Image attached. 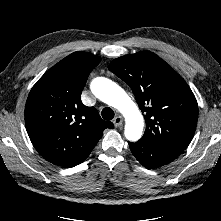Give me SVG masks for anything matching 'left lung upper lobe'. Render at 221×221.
<instances>
[{"label": "left lung upper lobe", "mask_w": 221, "mask_h": 221, "mask_svg": "<svg viewBox=\"0 0 221 221\" xmlns=\"http://www.w3.org/2000/svg\"><path fill=\"white\" fill-rule=\"evenodd\" d=\"M109 70L132 89L144 113L141 138L180 155L191 142L198 120V104L184 79L150 51L114 59Z\"/></svg>", "instance_id": "5c2ea615"}]
</instances>
